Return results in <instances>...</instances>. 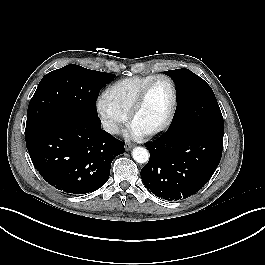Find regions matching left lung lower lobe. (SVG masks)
I'll return each instance as SVG.
<instances>
[{
	"label": "left lung lower lobe",
	"instance_id": "1",
	"mask_svg": "<svg viewBox=\"0 0 265 265\" xmlns=\"http://www.w3.org/2000/svg\"><path fill=\"white\" fill-rule=\"evenodd\" d=\"M223 133L207 126L185 125L169 128L145 144L150 159L140 174L146 188L168 201L195 194L220 162Z\"/></svg>",
	"mask_w": 265,
	"mask_h": 265
}]
</instances>
